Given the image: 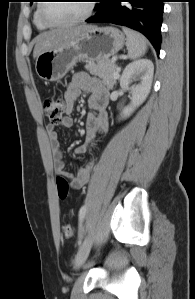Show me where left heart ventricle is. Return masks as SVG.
Returning <instances> with one entry per match:
<instances>
[{"instance_id": "1", "label": "left heart ventricle", "mask_w": 195, "mask_h": 299, "mask_svg": "<svg viewBox=\"0 0 195 299\" xmlns=\"http://www.w3.org/2000/svg\"><path fill=\"white\" fill-rule=\"evenodd\" d=\"M88 1H54L45 5L48 18L56 22H64L83 15Z\"/></svg>"}]
</instances>
